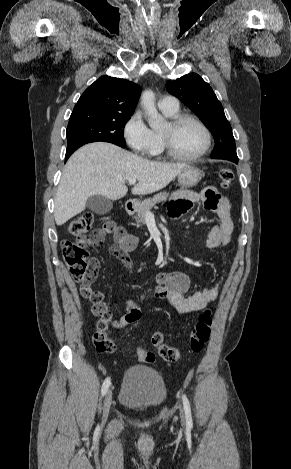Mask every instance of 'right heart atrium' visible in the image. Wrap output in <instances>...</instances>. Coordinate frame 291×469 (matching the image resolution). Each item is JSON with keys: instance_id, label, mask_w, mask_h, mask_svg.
Masks as SVG:
<instances>
[{"instance_id": "right-heart-atrium-1", "label": "right heart atrium", "mask_w": 291, "mask_h": 469, "mask_svg": "<svg viewBox=\"0 0 291 469\" xmlns=\"http://www.w3.org/2000/svg\"><path fill=\"white\" fill-rule=\"evenodd\" d=\"M123 138L136 154H149L154 144L153 131L145 123L140 112L133 113L123 127Z\"/></svg>"}]
</instances>
